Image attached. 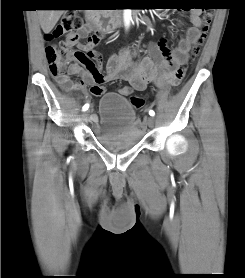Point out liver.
<instances>
[{
    "mask_svg": "<svg viewBox=\"0 0 245 278\" xmlns=\"http://www.w3.org/2000/svg\"><path fill=\"white\" fill-rule=\"evenodd\" d=\"M64 10H38V18L45 34L51 32Z\"/></svg>",
    "mask_w": 245,
    "mask_h": 278,
    "instance_id": "1",
    "label": "liver"
}]
</instances>
